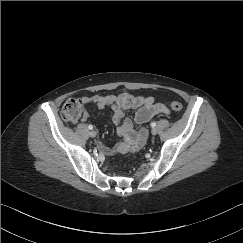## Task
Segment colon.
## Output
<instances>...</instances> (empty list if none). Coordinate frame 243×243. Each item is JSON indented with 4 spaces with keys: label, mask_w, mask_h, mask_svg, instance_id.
<instances>
[{
    "label": "colon",
    "mask_w": 243,
    "mask_h": 243,
    "mask_svg": "<svg viewBox=\"0 0 243 243\" xmlns=\"http://www.w3.org/2000/svg\"><path fill=\"white\" fill-rule=\"evenodd\" d=\"M171 110L181 112L183 105L180 102L174 101L170 103ZM83 105L78 99H68L62 105L60 117L65 122H76L82 114Z\"/></svg>",
    "instance_id": "obj_1"
}]
</instances>
